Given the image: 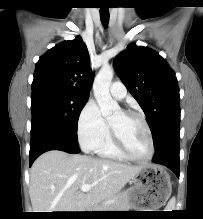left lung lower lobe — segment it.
<instances>
[{
  "label": "left lung lower lobe",
  "mask_w": 203,
  "mask_h": 219,
  "mask_svg": "<svg viewBox=\"0 0 203 219\" xmlns=\"http://www.w3.org/2000/svg\"><path fill=\"white\" fill-rule=\"evenodd\" d=\"M179 133L170 136L162 146L156 149L153 162L170 168L179 177Z\"/></svg>",
  "instance_id": "obj_1"
}]
</instances>
